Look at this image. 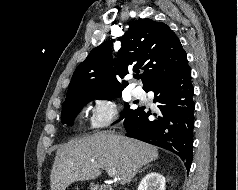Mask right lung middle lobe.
<instances>
[{"mask_svg":"<svg viewBox=\"0 0 238 190\" xmlns=\"http://www.w3.org/2000/svg\"><path fill=\"white\" fill-rule=\"evenodd\" d=\"M120 94L113 95H94V94H81L73 96L69 99H66L61 112V121L63 124H67L69 126L73 125L74 118L80 112L82 107L93 99H103V100H111ZM135 110L130 109L129 105L125 103V109L121 112V117L118 121L122 120L124 117H127Z\"/></svg>","mask_w":238,"mask_h":190,"instance_id":"obj_1","label":"right lung middle lobe"}]
</instances>
